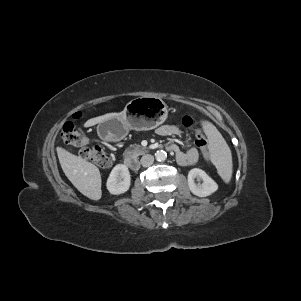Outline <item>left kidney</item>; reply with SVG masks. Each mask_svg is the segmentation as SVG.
<instances>
[{
    "label": "left kidney",
    "mask_w": 301,
    "mask_h": 301,
    "mask_svg": "<svg viewBox=\"0 0 301 301\" xmlns=\"http://www.w3.org/2000/svg\"><path fill=\"white\" fill-rule=\"evenodd\" d=\"M195 178H200L203 183L196 184ZM188 187L190 191L198 197H206L217 191V183L203 170L193 168L188 173Z\"/></svg>",
    "instance_id": "1"
}]
</instances>
